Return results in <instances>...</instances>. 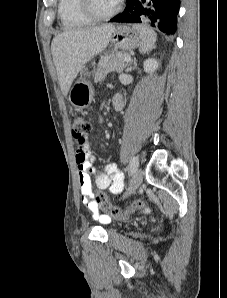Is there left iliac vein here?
Masks as SVG:
<instances>
[{"label":"left iliac vein","mask_w":227,"mask_h":298,"mask_svg":"<svg viewBox=\"0 0 227 298\" xmlns=\"http://www.w3.org/2000/svg\"><path fill=\"white\" fill-rule=\"evenodd\" d=\"M142 179H143V173L141 169H137L130 181L128 190L125 194V196L133 193L142 183Z\"/></svg>","instance_id":"obj_1"}]
</instances>
